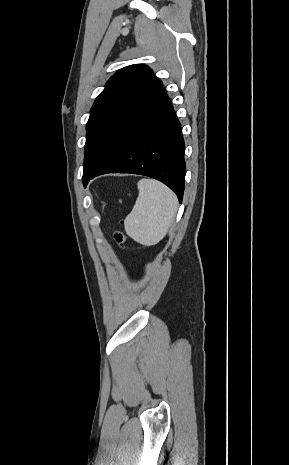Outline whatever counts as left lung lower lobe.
Listing matches in <instances>:
<instances>
[{
	"mask_svg": "<svg viewBox=\"0 0 289 465\" xmlns=\"http://www.w3.org/2000/svg\"><path fill=\"white\" fill-rule=\"evenodd\" d=\"M185 170L181 126L166 92L161 88L114 148L87 176L84 185L105 173L140 174L166 184L181 203Z\"/></svg>",
	"mask_w": 289,
	"mask_h": 465,
	"instance_id": "0a47b994",
	"label": "left lung lower lobe"
}]
</instances>
